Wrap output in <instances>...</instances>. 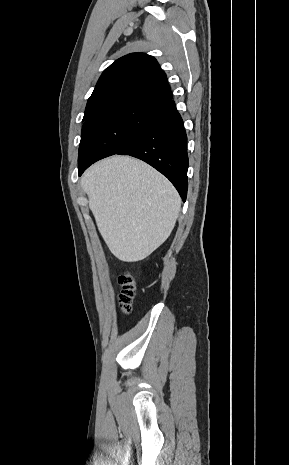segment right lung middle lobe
I'll use <instances>...</instances> for the list:
<instances>
[{
	"instance_id": "obj_1",
	"label": "right lung middle lobe",
	"mask_w": 289,
	"mask_h": 465,
	"mask_svg": "<svg viewBox=\"0 0 289 465\" xmlns=\"http://www.w3.org/2000/svg\"><path fill=\"white\" fill-rule=\"evenodd\" d=\"M162 110L160 104L129 101L114 104L83 119L78 163L116 154Z\"/></svg>"
}]
</instances>
